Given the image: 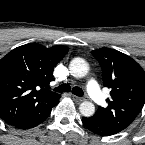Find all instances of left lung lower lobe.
Masks as SVG:
<instances>
[{
  "mask_svg": "<svg viewBox=\"0 0 145 145\" xmlns=\"http://www.w3.org/2000/svg\"><path fill=\"white\" fill-rule=\"evenodd\" d=\"M82 122L87 129L101 136H110V135L117 134L119 132L114 128H112L111 126L104 124L95 115L88 118L83 117Z\"/></svg>",
  "mask_w": 145,
  "mask_h": 145,
  "instance_id": "obj_1",
  "label": "left lung lower lobe"
}]
</instances>
